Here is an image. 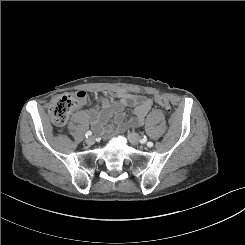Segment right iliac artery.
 Instances as JSON below:
<instances>
[{"label":"right iliac artery","mask_w":245,"mask_h":245,"mask_svg":"<svg viewBox=\"0 0 245 245\" xmlns=\"http://www.w3.org/2000/svg\"><path fill=\"white\" fill-rule=\"evenodd\" d=\"M85 135L88 138V137H90L92 135V132L91 131H87Z\"/></svg>","instance_id":"obj_1"}]
</instances>
